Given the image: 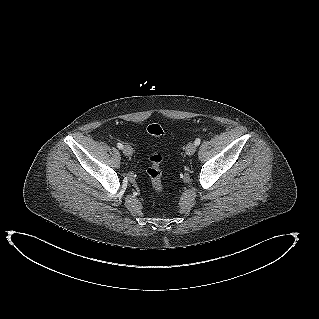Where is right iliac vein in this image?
<instances>
[{
    "label": "right iliac vein",
    "mask_w": 319,
    "mask_h": 319,
    "mask_svg": "<svg viewBox=\"0 0 319 319\" xmlns=\"http://www.w3.org/2000/svg\"><path fill=\"white\" fill-rule=\"evenodd\" d=\"M123 153L126 155V156H131L133 154V148L130 146V145H125L123 147Z\"/></svg>",
    "instance_id": "63e3f726"
}]
</instances>
